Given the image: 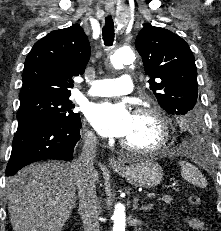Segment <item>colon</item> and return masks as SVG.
<instances>
[{
  "mask_svg": "<svg viewBox=\"0 0 221 231\" xmlns=\"http://www.w3.org/2000/svg\"><path fill=\"white\" fill-rule=\"evenodd\" d=\"M189 203L194 207H200L202 205V199L198 195H191L189 197Z\"/></svg>",
  "mask_w": 221,
  "mask_h": 231,
  "instance_id": "colon-1",
  "label": "colon"
}]
</instances>
